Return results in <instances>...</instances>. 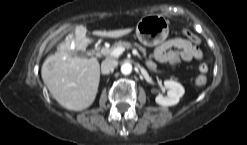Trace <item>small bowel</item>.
I'll return each instance as SVG.
<instances>
[{
	"mask_svg": "<svg viewBox=\"0 0 247 145\" xmlns=\"http://www.w3.org/2000/svg\"><path fill=\"white\" fill-rule=\"evenodd\" d=\"M199 44L200 40L196 35L194 39L171 38L157 46L153 55L157 61L170 64H176L180 61L201 60L203 52ZM148 66L154 68L152 62H148Z\"/></svg>",
	"mask_w": 247,
	"mask_h": 145,
	"instance_id": "1",
	"label": "small bowel"
}]
</instances>
